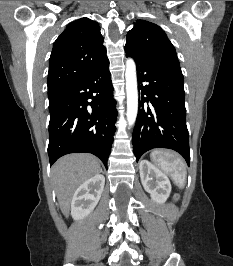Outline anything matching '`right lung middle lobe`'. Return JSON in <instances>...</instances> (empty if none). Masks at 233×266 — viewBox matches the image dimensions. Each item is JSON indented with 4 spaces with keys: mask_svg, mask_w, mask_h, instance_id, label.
Returning a JSON list of instances; mask_svg holds the SVG:
<instances>
[{
    "mask_svg": "<svg viewBox=\"0 0 233 266\" xmlns=\"http://www.w3.org/2000/svg\"><path fill=\"white\" fill-rule=\"evenodd\" d=\"M55 93H48V97L53 96Z\"/></svg>",
    "mask_w": 233,
    "mask_h": 266,
    "instance_id": "dd1d6c3e",
    "label": "right lung middle lobe"
}]
</instances>
